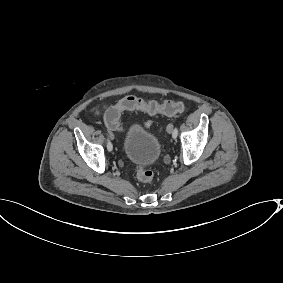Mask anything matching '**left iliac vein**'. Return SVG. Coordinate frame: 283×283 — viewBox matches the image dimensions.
Wrapping results in <instances>:
<instances>
[{"instance_id": "obj_1", "label": "left iliac vein", "mask_w": 283, "mask_h": 283, "mask_svg": "<svg viewBox=\"0 0 283 283\" xmlns=\"http://www.w3.org/2000/svg\"><path fill=\"white\" fill-rule=\"evenodd\" d=\"M172 131H173V125L169 124L168 127H167V132L171 133Z\"/></svg>"}]
</instances>
